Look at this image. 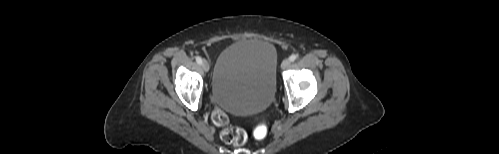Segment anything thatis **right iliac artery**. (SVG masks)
<instances>
[{
  "label": "right iliac artery",
  "instance_id": "82829eb1",
  "mask_svg": "<svg viewBox=\"0 0 499 154\" xmlns=\"http://www.w3.org/2000/svg\"><path fill=\"white\" fill-rule=\"evenodd\" d=\"M196 62L201 65L202 64V58L200 56H196Z\"/></svg>",
  "mask_w": 499,
  "mask_h": 154
}]
</instances>
